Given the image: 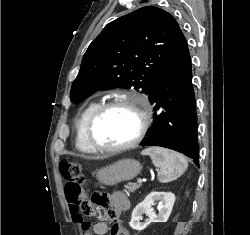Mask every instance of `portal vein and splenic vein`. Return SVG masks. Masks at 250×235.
Listing matches in <instances>:
<instances>
[{"instance_id": "portal-vein-and-splenic-vein-1", "label": "portal vein and splenic vein", "mask_w": 250, "mask_h": 235, "mask_svg": "<svg viewBox=\"0 0 250 235\" xmlns=\"http://www.w3.org/2000/svg\"><path fill=\"white\" fill-rule=\"evenodd\" d=\"M137 182H138L139 184L142 183V179L139 178V179L137 180Z\"/></svg>"}]
</instances>
